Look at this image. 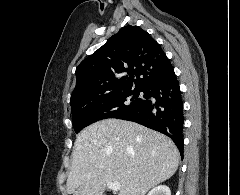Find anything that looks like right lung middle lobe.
I'll list each match as a JSON object with an SVG mask.
<instances>
[{
    "instance_id": "1",
    "label": "right lung middle lobe",
    "mask_w": 240,
    "mask_h": 195,
    "mask_svg": "<svg viewBox=\"0 0 240 195\" xmlns=\"http://www.w3.org/2000/svg\"><path fill=\"white\" fill-rule=\"evenodd\" d=\"M140 89H124L100 97L81 98L71 102L72 122L75 132L102 119L115 118L136 106Z\"/></svg>"
}]
</instances>
